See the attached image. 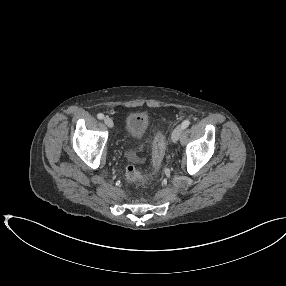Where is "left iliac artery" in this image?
Here are the masks:
<instances>
[{
    "label": "left iliac artery",
    "mask_w": 286,
    "mask_h": 286,
    "mask_svg": "<svg viewBox=\"0 0 286 286\" xmlns=\"http://www.w3.org/2000/svg\"><path fill=\"white\" fill-rule=\"evenodd\" d=\"M190 125V120L186 119L182 122V128L186 129Z\"/></svg>",
    "instance_id": "1"
}]
</instances>
